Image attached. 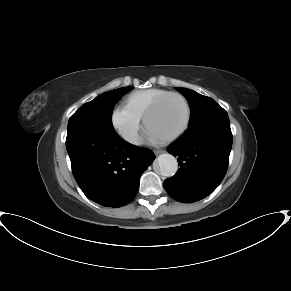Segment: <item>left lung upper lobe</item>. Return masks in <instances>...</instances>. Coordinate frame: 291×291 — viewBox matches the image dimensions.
Listing matches in <instances>:
<instances>
[{"mask_svg": "<svg viewBox=\"0 0 291 291\" xmlns=\"http://www.w3.org/2000/svg\"><path fill=\"white\" fill-rule=\"evenodd\" d=\"M178 91L187 98L191 107L192 115L187 132L196 131L212 121L228 117L227 112L212 98L187 88H178Z\"/></svg>", "mask_w": 291, "mask_h": 291, "instance_id": "5c2ea615", "label": "left lung upper lobe"}]
</instances>
